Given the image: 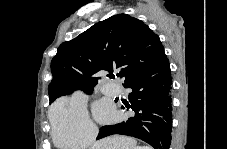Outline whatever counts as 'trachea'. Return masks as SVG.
Returning <instances> with one entry per match:
<instances>
[{"label":"trachea","mask_w":227,"mask_h":149,"mask_svg":"<svg viewBox=\"0 0 227 149\" xmlns=\"http://www.w3.org/2000/svg\"><path fill=\"white\" fill-rule=\"evenodd\" d=\"M110 78H115V76L114 75H111Z\"/></svg>","instance_id":"3493384b"}]
</instances>
